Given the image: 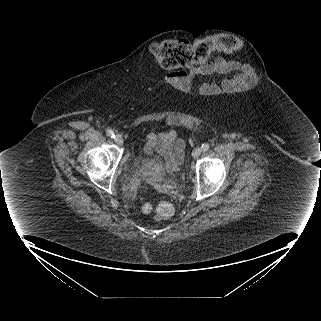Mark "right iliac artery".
Returning a JSON list of instances; mask_svg holds the SVG:
<instances>
[{
    "instance_id": "1",
    "label": "right iliac artery",
    "mask_w": 321,
    "mask_h": 321,
    "mask_svg": "<svg viewBox=\"0 0 321 321\" xmlns=\"http://www.w3.org/2000/svg\"><path fill=\"white\" fill-rule=\"evenodd\" d=\"M106 133H107V135L110 136L111 138H114V137H115V134H114V132H113L111 129H107Z\"/></svg>"
}]
</instances>
